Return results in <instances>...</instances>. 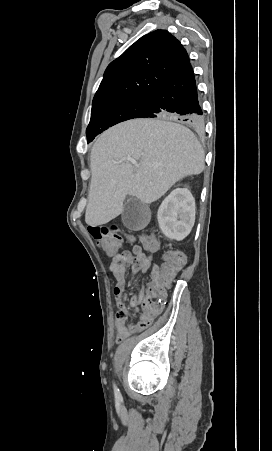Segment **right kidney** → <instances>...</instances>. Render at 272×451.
Listing matches in <instances>:
<instances>
[{
	"mask_svg": "<svg viewBox=\"0 0 272 451\" xmlns=\"http://www.w3.org/2000/svg\"><path fill=\"white\" fill-rule=\"evenodd\" d=\"M195 200L188 188H176L163 200L157 214L161 231L171 239H184L195 222Z\"/></svg>",
	"mask_w": 272,
	"mask_h": 451,
	"instance_id": "1",
	"label": "right kidney"
}]
</instances>
